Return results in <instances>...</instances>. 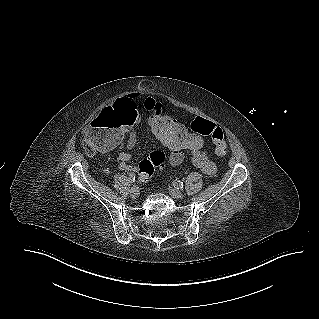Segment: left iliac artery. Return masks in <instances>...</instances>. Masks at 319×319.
<instances>
[{"mask_svg":"<svg viewBox=\"0 0 319 319\" xmlns=\"http://www.w3.org/2000/svg\"><path fill=\"white\" fill-rule=\"evenodd\" d=\"M173 186L177 189H182L184 187V184L180 180H174Z\"/></svg>","mask_w":319,"mask_h":319,"instance_id":"1","label":"left iliac artery"}]
</instances>
